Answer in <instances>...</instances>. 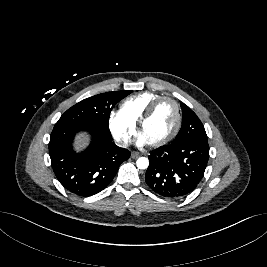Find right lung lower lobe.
Wrapping results in <instances>:
<instances>
[{
	"label": "right lung lower lobe",
	"mask_w": 267,
	"mask_h": 267,
	"mask_svg": "<svg viewBox=\"0 0 267 267\" xmlns=\"http://www.w3.org/2000/svg\"><path fill=\"white\" fill-rule=\"evenodd\" d=\"M79 131L89 132L92 142L84 152L76 154L72 142ZM49 155L53 171L64 188L75 195L87 197L102 191L131 153L112 143L109 128L90 125L54 126Z\"/></svg>",
	"instance_id": "obj_1"
}]
</instances>
